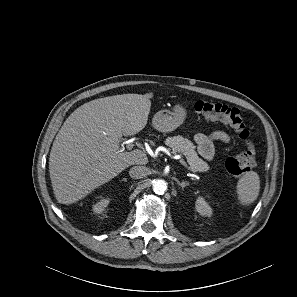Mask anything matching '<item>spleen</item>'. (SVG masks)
<instances>
[{"label":"spleen","instance_id":"spleen-1","mask_svg":"<svg viewBox=\"0 0 297 297\" xmlns=\"http://www.w3.org/2000/svg\"><path fill=\"white\" fill-rule=\"evenodd\" d=\"M239 202L243 205L253 203L260 190V178L254 171L245 172L236 186Z\"/></svg>","mask_w":297,"mask_h":297}]
</instances>
